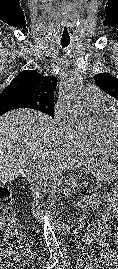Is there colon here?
<instances>
[{
	"label": "colon",
	"instance_id": "5ec220e1",
	"mask_svg": "<svg viewBox=\"0 0 118 269\" xmlns=\"http://www.w3.org/2000/svg\"><path fill=\"white\" fill-rule=\"evenodd\" d=\"M0 219L6 221L0 269H20L28 258L30 242L22 233L21 221L14 215L11 190L5 186H0Z\"/></svg>",
	"mask_w": 118,
	"mask_h": 269
}]
</instances>
